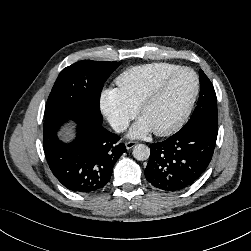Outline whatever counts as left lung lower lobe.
<instances>
[{
    "label": "left lung lower lobe",
    "instance_id": "left-lung-lower-lobe-1",
    "mask_svg": "<svg viewBox=\"0 0 251 251\" xmlns=\"http://www.w3.org/2000/svg\"><path fill=\"white\" fill-rule=\"evenodd\" d=\"M217 134L218 126L198 123L163 142L152 143L146 179L154 187L171 192L192 185L212 159Z\"/></svg>",
    "mask_w": 251,
    "mask_h": 251
}]
</instances>
